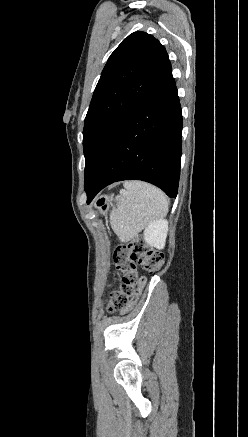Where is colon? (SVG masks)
<instances>
[{"instance_id":"colon-1","label":"colon","mask_w":248,"mask_h":437,"mask_svg":"<svg viewBox=\"0 0 248 437\" xmlns=\"http://www.w3.org/2000/svg\"><path fill=\"white\" fill-rule=\"evenodd\" d=\"M113 261L123 275L119 289L110 295L108 310L126 313L136 303L144 282L137 266L149 274L155 273L162 267L164 256L140 238H136L117 245L113 251Z\"/></svg>"}]
</instances>
